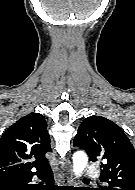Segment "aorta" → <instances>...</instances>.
<instances>
[{
	"label": "aorta",
	"mask_w": 135,
	"mask_h": 190,
	"mask_svg": "<svg viewBox=\"0 0 135 190\" xmlns=\"http://www.w3.org/2000/svg\"><path fill=\"white\" fill-rule=\"evenodd\" d=\"M87 162L88 157L84 152L78 151L73 155V172L75 175L80 176L82 174Z\"/></svg>",
	"instance_id": "obj_1"
}]
</instances>
